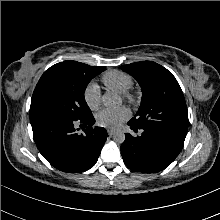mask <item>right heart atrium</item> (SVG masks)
I'll return each mask as SVG.
<instances>
[{
  "label": "right heart atrium",
  "instance_id": "1",
  "mask_svg": "<svg viewBox=\"0 0 220 220\" xmlns=\"http://www.w3.org/2000/svg\"><path fill=\"white\" fill-rule=\"evenodd\" d=\"M84 101L91 110H96L101 103L100 88L96 83H90L86 86L83 93Z\"/></svg>",
  "mask_w": 220,
  "mask_h": 220
}]
</instances>
